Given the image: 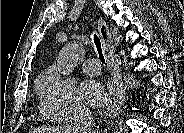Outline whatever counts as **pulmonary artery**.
I'll use <instances>...</instances> for the list:
<instances>
[{
    "label": "pulmonary artery",
    "instance_id": "e3ab8cb5",
    "mask_svg": "<svg viewBox=\"0 0 184 133\" xmlns=\"http://www.w3.org/2000/svg\"><path fill=\"white\" fill-rule=\"evenodd\" d=\"M83 71L91 76L98 75L100 73V67L98 61L95 58H89L82 63Z\"/></svg>",
    "mask_w": 184,
    "mask_h": 133
}]
</instances>
